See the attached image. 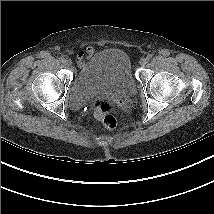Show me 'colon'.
I'll list each match as a JSON object with an SVG mask.
<instances>
[{"mask_svg":"<svg viewBox=\"0 0 214 214\" xmlns=\"http://www.w3.org/2000/svg\"><path fill=\"white\" fill-rule=\"evenodd\" d=\"M113 103L108 100H97L94 104V110L97 118L108 130H113L117 126V120L113 115Z\"/></svg>","mask_w":214,"mask_h":214,"instance_id":"obj_1","label":"colon"}]
</instances>
